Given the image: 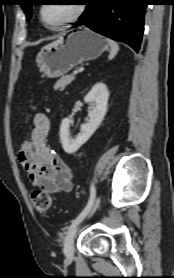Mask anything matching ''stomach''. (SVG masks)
Listing matches in <instances>:
<instances>
[{"instance_id":"stomach-1","label":"stomach","mask_w":174,"mask_h":278,"mask_svg":"<svg viewBox=\"0 0 174 278\" xmlns=\"http://www.w3.org/2000/svg\"><path fill=\"white\" fill-rule=\"evenodd\" d=\"M107 49L106 39L83 27L43 47L36 56V63L45 77L58 78L75 66L99 57Z\"/></svg>"}]
</instances>
